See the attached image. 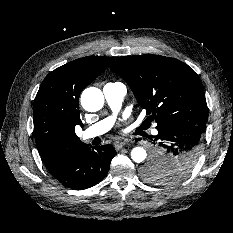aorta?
Wrapping results in <instances>:
<instances>
[{"mask_svg": "<svg viewBox=\"0 0 233 233\" xmlns=\"http://www.w3.org/2000/svg\"><path fill=\"white\" fill-rule=\"evenodd\" d=\"M82 107L89 112H96L104 105V96L100 89L95 87L86 88L81 95ZM146 150L142 147H135L131 151V158L136 163L146 159Z\"/></svg>", "mask_w": 233, "mask_h": 233, "instance_id": "762f6f07", "label": "aorta"}]
</instances>
